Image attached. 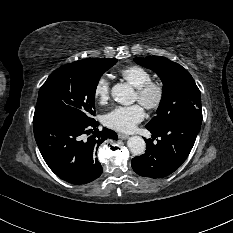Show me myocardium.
Here are the masks:
<instances>
[{"label":"myocardium","instance_id":"f54148a6","mask_svg":"<svg viewBox=\"0 0 233 233\" xmlns=\"http://www.w3.org/2000/svg\"><path fill=\"white\" fill-rule=\"evenodd\" d=\"M138 101L148 110L157 109L163 102L165 88L162 82L149 80L143 86L137 88Z\"/></svg>","mask_w":233,"mask_h":233}]
</instances>
